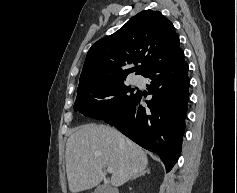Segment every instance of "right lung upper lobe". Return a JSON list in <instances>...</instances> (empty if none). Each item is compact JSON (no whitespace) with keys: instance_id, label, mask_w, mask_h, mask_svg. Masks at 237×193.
I'll list each match as a JSON object with an SVG mask.
<instances>
[{"instance_id":"1","label":"right lung upper lobe","mask_w":237,"mask_h":193,"mask_svg":"<svg viewBox=\"0 0 237 193\" xmlns=\"http://www.w3.org/2000/svg\"><path fill=\"white\" fill-rule=\"evenodd\" d=\"M179 50V37L173 24L159 11L144 10L114 34L91 46L77 91L125 79L134 71L144 76ZM138 63H141L139 67H128Z\"/></svg>"}]
</instances>
